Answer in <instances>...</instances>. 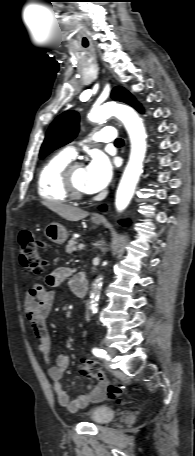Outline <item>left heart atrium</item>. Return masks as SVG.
Wrapping results in <instances>:
<instances>
[{"label": "left heart atrium", "instance_id": "obj_1", "mask_svg": "<svg viewBox=\"0 0 195 456\" xmlns=\"http://www.w3.org/2000/svg\"><path fill=\"white\" fill-rule=\"evenodd\" d=\"M113 167L110 160L103 154L93 156L85 168V188L94 193L108 185L112 178Z\"/></svg>", "mask_w": 195, "mask_h": 456}]
</instances>
